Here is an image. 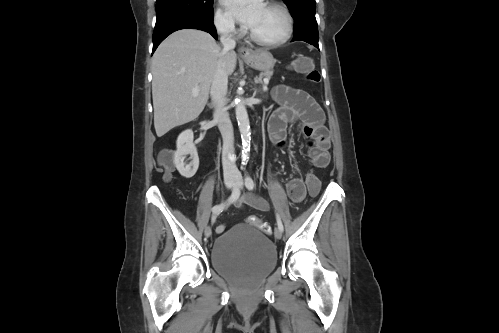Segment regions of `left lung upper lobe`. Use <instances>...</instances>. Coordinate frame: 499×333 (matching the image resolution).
<instances>
[{"mask_svg": "<svg viewBox=\"0 0 499 333\" xmlns=\"http://www.w3.org/2000/svg\"><path fill=\"white\" fill-rule=\"evenodd\" d=\"M292 13V17L315 15V0H283Z\"/></svg>", "mask_w": 499, "mask_h": 333, "instance_id": "obj_1", "label": "left lung upper lobe"}]
</instances>
